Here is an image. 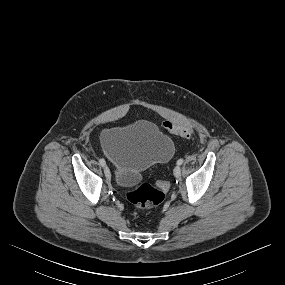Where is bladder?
Listing matches in <instances>:
<instances>
[{"label":"bladder","instance_id":"obj_1","mask_svg":"<svg viewBox=\"0 0 285 285\" xmlns=\"http://www.w3.org/2000/svg\"><path fill=\"white\" fill-rule=\"evenodd\" d=\"M101 145L113 166L115 183L123 189L135 187L146 169L168 161L174 153L173 141L148 120L104 130Z\"/></svg>","mask_w":285,"mask_h":285}]
</instances>
